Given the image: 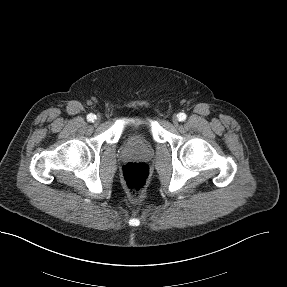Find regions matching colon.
Wrapping results in <instances>:
<instances>
[{"label": "colon", "mask_w": 287, "mask_h": 287, "mask_svg": "<svg viewBox=\"0 0 287 287\" xmlns=\"http://www.w3.org/2000/svg\"><path fill=\"white\" fill-rule=\"evenodd\" d=\"M121 177L129 195L137 199L147 187L150 178V168L146 163L129 162L122 167Z\"/></svg>", "instance_id": "colon-1"}]
</instances>
